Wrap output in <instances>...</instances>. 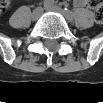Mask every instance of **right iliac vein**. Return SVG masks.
<instances>
[{"instance_id": "right-iliac-vein-1", "label": "right iliac vein", "mask_w": 103, "mask_h": 103, "mask_svg": "<svg viewBox=\"0 0 103 103\" xmlns=\"http://www.w3.org/2000/svg\"><path fill=\"white\" fill-rule=\"evenodd\" d=\"M42 12H43V8L42 7L36 8L33 11L32 15H31L32 20H37L40 17V15L42 14Z\"/></svg>"}]
</instances>
